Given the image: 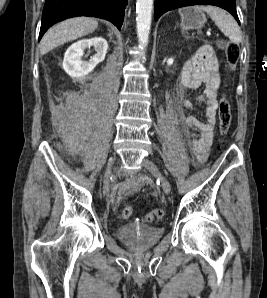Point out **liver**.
<instances>
[{
  "label": "liver",
  "instance_id": "liver-1",
  "mask_svg": "<svg viewBox=\"0 0 267 298\" xmlns=\"http://www.w3.org/2000/svg\"><path fill=\"white\" fill-rule=\"evenodd\" d=\"M97 27V20L89 17L65 20L45 33L40 43V53L44 55L66 42L88 35Z\"/></svg>",
  "mask_w": 267,
  "mask_h": 298
}]
</instances>
